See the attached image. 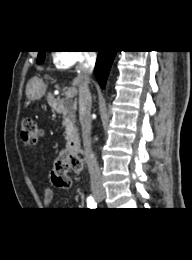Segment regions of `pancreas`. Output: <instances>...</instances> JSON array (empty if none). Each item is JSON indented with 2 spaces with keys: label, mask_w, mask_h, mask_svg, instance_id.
I'll list each match as a JSON object with an SVG mask.
<instances>
[{
  "label": "pancreas",
  "mask_w": 192,
  "mask_h": 260,
  "mask_svg": "<svg viewBox=\"0 0 192 260\" xmlns=\"http://www.w3.org/2000/svg\"><path fill=\"white\" fill-rule=\"evenodd\" d=\"M63 118H64L63 125L65 127H68L69 124L74 125L76 123V116L72 112H68V111L64 112Z\"/></svg>",
  "instance_id": "cf45deb5"
}]
</instances>
